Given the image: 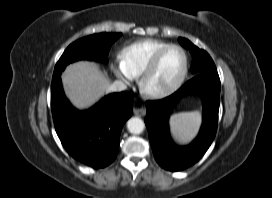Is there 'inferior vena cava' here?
Instances as JSON below:
<instances>
[{"label":"inferior vena cava","mask_w":272,"mask_h":198,"mask_svg":"<svg viewBox=\"0 0 272 198\" xmlns=\"http://www.w3.org/2000/svg\"><path fill=\"white\" fill-rule=\"evenodd\" d=\"M127 89V86L122 81H115L109 87V92H121Z\"/></svg>","instance_id":"obj_1"}]
</instances>
